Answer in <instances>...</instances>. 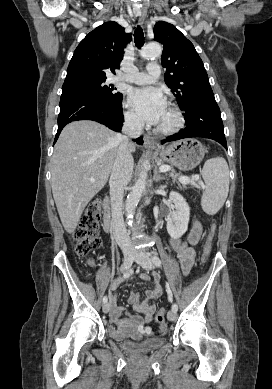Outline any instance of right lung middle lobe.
<instances>
[{
    "label": "right lung middle lobe",
    "mask_w": 272,
    "mask_h": 389,
    "mask_svg": "<svg viewBox=\"0 0 272 389\" xmlns=\"http://www.w3.org/2000/svg\"><path fill=\"white\" fill-rule=\"evenodd\" d=\"M105 79L81 81L62 86L63 94H86L108 103L122 102V94L114 92L113 87L104 85Z\"/></svg>",
    "instance_id": "dd1d6c3e"
}]
</instances>
